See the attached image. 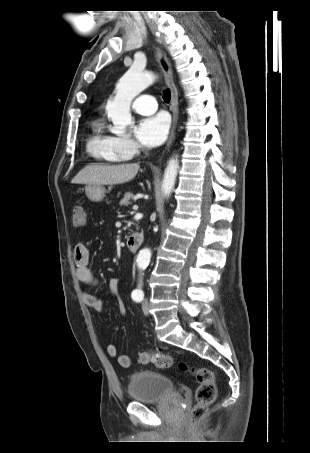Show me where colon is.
<instances>
[{
    "instance_id": "obj_1",
    "label": "colon",
    "mask_w": 310,
    "mask_h": 453,
    "mask_svg": "<svg viewBox=\"0 0 310 453\" xmlns=\"http://www.w3.org/2000/svg\"><path fill=\"white\" fill-rule=\"evenodd\" d=\"M73 224L77 227L83 226L86 222V213L82 207H75L72 216ZM141 364H154L160 369H168L175 363L174 358L159 351H141L139 353ZM178 367L183 372L190 373L198 382L196 389V402L189 414V422L195 424L204 418L208 408L213 404L217 394L214 373L204 367L190 366L185 362H179Z\"/></svg>"
}]
</instances>
